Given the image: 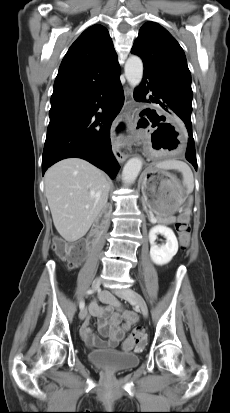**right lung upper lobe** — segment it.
<instances>
[{"label":"right lung upper lobe","mask_w":230,"mask_h":413,"mask_svg":"<svg viewBox=\"0 0 230 413\" xmlns=\"http://www.w3.org/2000/svg\"><path fill=\"white\" fill-rule=\"evenodd\" d=\"M118 73L117 54L107 29L93 25L77 38L64 56L51 103L86 96Z\"/></svg>","instance_id":"1"}]
</instances>
